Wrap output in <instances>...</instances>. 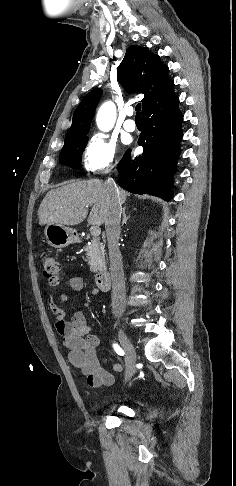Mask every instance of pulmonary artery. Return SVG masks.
Returning <instances> with one entry per match:
<instances>
[{
    "label": "pulmonary artery",
    "mask_w": 236,
    "mask_h": 486,
    "mask_svg": "<svg viewBox=\"0 0 236 486\" xmlns=\"http://www.w3.org/2000/svg\"><path fill=\"white\" fill-rule=\"evenodd\" d=\"M133 109L132 108H129L127 110V116L128 117H131L133 115ZM124 129L128 132H133L136 130V124H135V121L131 118H128L125 122H124Z\"/></svg>",
    "instance_id": "e3ab8cb5"
}]
</instances>
